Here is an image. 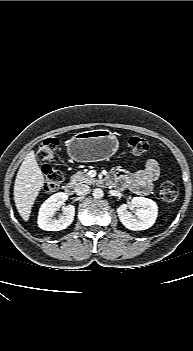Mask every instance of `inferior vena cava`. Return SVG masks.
<instances>
[{
  "label": "inferior vena cava",
  "instance_id": "inferior-vena-cava-1",
  "mask_svg": "<svg viewBox=\"0 0 193 351\" xmlns=\"http://www.w3.org/2000/svg\"><path fill=\"white\" fill-rule=\"evenodd\" d=\"M89 191H90V187L86 184H80L75 189V192L78 196L87 195Z\"/></svg>",
  "mask_w": 193,
  "mask_h": 351
}]
</instances>
